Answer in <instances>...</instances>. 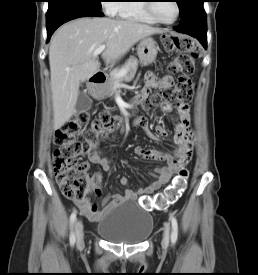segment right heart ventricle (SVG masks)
I'll list each match as a JSON object with an SVG mask.
<instances>
[{
  "instance_id": "right-heart-ventricle-1",
  "label": "right heart ventricle",
  "mask_w": 258,
  "mask_h": 275,
  "mask_svg": "<svg viewBox=\"0 0 258 275\" xmlns=\"http://www.w3.org/2000/svg\"><path fill=\"white\" fill-rule=\"evenodd\" d=\"M145 0H124L116 3V10L113 14L126 19L138 22L156 24L157 22L148 14L145 8Z\"/></svg>"
}]
</instances>
